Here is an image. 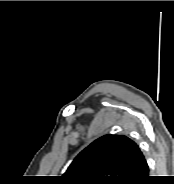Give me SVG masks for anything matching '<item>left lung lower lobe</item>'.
Instances as JSON below:
<instances>
[{
  "label": "left lung lower lobe",
  "instance_id": "1",
  "mask_svg": "<svg viewBox=\"0 0 174 184\" xmlns=\"http://www.w3.org/2000/svg\"><path fill=\"white\" fill-rule=\"evenodd\" d=\"M149 178V168L140 151L133 167L131 179L126 184H146L150 180Z\"/></svg>",
  "mask_w": 174,
  "mask_h": 184
}]
</instances>
